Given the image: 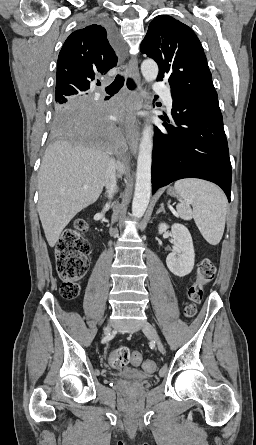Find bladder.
Here are the masks:
<instances>
[{
	"instance_id": "31cf9c89",
	"label": "bladder",
	"mask_w": 256,
	"mask_h": 445,
	"mask_svg": "<svg viewBox=\"0 0 256 445\" xmlns=\"http://www.w3.org/2000/svg\"><path fill=\"white\" fill-rule=\"evenodd\" d=\"M117 376L123 379L144 381L147 380L148 376L139 370L133 368H122L117 371Z\"/></svg>"
}]
</instances>
